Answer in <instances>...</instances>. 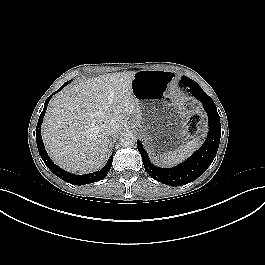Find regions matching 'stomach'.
I'll use <instances>...</instances> for the list:
<instances>
[{
	"mask_svg": "<svg viewBox=\"0 0 265 265\" xmlns=\"http://www.w3.org/2000/svg\"><path fill=\"white\" fill-rule=\"evenodd\" d=\"M173 81L174 74L169 71L141 70L131 82L140 113L132 125L147 137L151 149L163 157L178 154L186 142L187 112L179 100L170 98Z\"/></svg>",
	"mask_w": 265,
	"mask_h": 265,
	"instance_id": "stomach-1",
	"label": "stomach"
}]
</instances>
